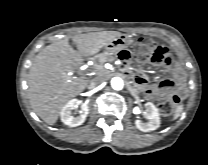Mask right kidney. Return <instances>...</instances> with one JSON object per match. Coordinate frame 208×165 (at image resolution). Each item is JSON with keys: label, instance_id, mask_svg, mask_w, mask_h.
Returning <instances> with one entry per match:
<instances>
[{"label": "right kidney", "instance_id": "obj_1", "mask_svg": "<svg viewBox=\"0 0 208 165\" xmlns=\"http://www.w3.org/2000/svg\"><path fill=\"white\" fill-rule=\"evenodd\" d=\"M79 102L77 99L70 100L61 110V121L70 127H76L84 123L88 113L89 107L86 103L80 104V112L78 116H73L72 111L78 108Z\"/></svg>", "mask_w": 208, "mask_h": 165}]
</instances>
